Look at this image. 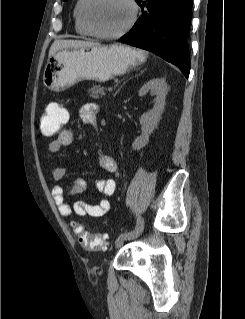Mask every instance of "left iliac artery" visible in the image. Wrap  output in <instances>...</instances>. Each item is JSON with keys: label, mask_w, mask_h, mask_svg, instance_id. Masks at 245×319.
<instances>
[{"label": "left iliac artery", "mask_w": 245, "mask_h": 319, "mask_svg": "<svg viewBox=\"0 0 245 319\" xmlns=\"http://www.w3.org/2000/svg\"><path fill=\"white\" fill-rule=\"evenodd\" d=\"M143 226H144V220L142 217H138L137 218V225L136 227L130 231V232H125V233H122L124 234L125 236H128V237H132L134 235H136L137 233L141 232L143 230Z\"/></svg>", "instance_id": "obj_1"}]
</instances>
